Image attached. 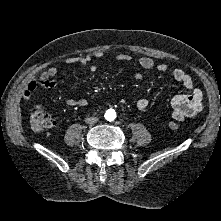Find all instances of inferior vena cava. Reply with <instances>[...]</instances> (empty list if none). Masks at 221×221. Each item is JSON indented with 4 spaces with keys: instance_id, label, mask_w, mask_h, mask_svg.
I'll return each mask as SVG.
<instances>
[{
    "instance_id": "inferior-vena-cava-1",
    "label": "inferior vena cava",
    "mask_w": 221,
    "mask_h": 221,
    "mask_svg": "<svg viewBox=\"0 0 221 221\" xmlns=\"http://www.w3.org/2000/svg\"><path fill=\"white\" fill-rule=\"evenodd\" d=\"M99 119L97 118V117H88V118H86L85 119V122L87 123V124H94V123H96L97 121H98Z\"/></svg>"
}]
</instances>
